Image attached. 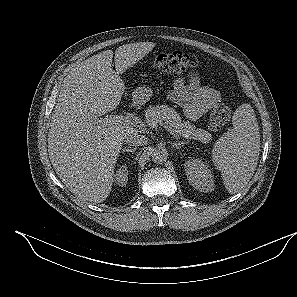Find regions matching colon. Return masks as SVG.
<instances>
[{
	"instance_id": "obj_1",
	"label": "colon",
	"mask_w": 297,
	"mask_h": 297,
	"mask_svg": "<svg viewBox=\"0 0 297 297\" xmlns=\"http://www.w3.org/2000/svg\"><path fill=\"white\" fill-rule=\"evenodd\" d=\"M153 66L157 71L167 75H193L199 67V61L194 56L181 51H173L159 55ZM230 117V107L226 104H218L210 114L209 128L212 131L221 130L229 122Z\"/></svg>"
}]
</instances>
